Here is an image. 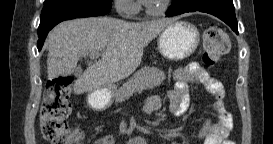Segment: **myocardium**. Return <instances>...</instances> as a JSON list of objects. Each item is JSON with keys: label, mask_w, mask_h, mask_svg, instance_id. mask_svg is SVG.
Returning a JSON list of instances; mask_svg holds the SVG:
<instances>
[{"label": "myocardium", "mask_w": 273, "mask_h": 144, "mask_svg": "<svg viewBox=\"0 0 273 144\" xmlns=\"http://www.w3.org/2000/svg\"><path fill=\"white\" fill-rule=\"evenodd\" d=\"M173 0H163L161 5L158 6L157 8H152L149 5L145 4V11L149 14H155V15H159L162 14L164 12H166L169 7L171 6Z\"/></svg>", "instance_id": "obj_1"}]
</instances>
